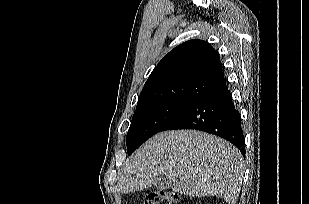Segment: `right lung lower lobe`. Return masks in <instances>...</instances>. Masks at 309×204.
<instances>
[{
  "instance_id": "1",
  "label": "right lung lower lobe",
  "mask_w": 309,
  "mask_h": 204,
  "mask_svg": "<svg viewBox=\"0 0 309 204\" xmlns=\"http://www.w3.org/2000/svg\"><path fill=\"white\" fill-rule=\"evenodd\" d=\"M175 129H195L220 136L245 155L240 114L228 88L196 103L162 131Z\"/></svg>"
}]
</instances>
